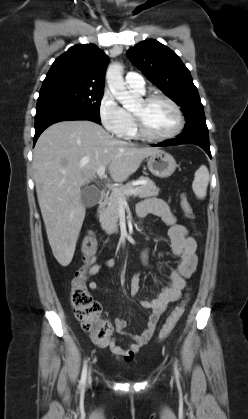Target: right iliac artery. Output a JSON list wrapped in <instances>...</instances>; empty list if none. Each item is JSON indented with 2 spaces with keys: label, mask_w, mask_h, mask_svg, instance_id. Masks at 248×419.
Returning a JSON list of instances; mask_svg holds the SVG:
<instances>
[{
  "label": "right iliac artery",
  "mask_w": 248,
  "mask_h": 419,
  "mask_svg": "<svg viewBox=\"0 0 248 419\" xmlns=\"http://www.w3.org/2000/svg\"><path fill=\"white\" fill-rule=\"evenodd\" d=\"M86 377H87V361H85L83 365L81 380H80V387H83L85 385Z\"/></svg>",
  "instance_id": "obj_1"
}]
</instances>
